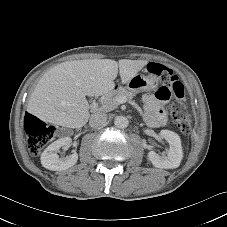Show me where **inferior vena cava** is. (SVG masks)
Segmentation results:
<instances>
[{"label":"inferior vena cava","mask_w":227,"mask_h":227,"mask_svg":"<svg viewBox=\"0 0 227 227\" xmlns=\"http://www.w3.org/2000/svg\"><path fill=\"white\" fill-rule=\"evenodd\" d=\"M107 121V115L103 112H96L91 115L89 124L91 127L103 126Z\"/></svg>","instance_id":"1"}]
</instances>
